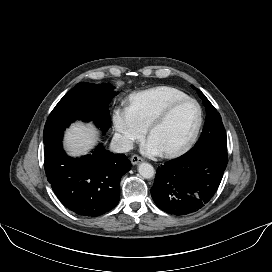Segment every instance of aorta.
Returning <instances> with one entry per match:
<instances>
[{
  "mask_svg": "<svg viewBox=\"0 0 272 272\" xmlns=\"http://www.w3.org/2000/svg\"><path fill=\"white\" fill-rule=\"evenodd\" d=\"M138 172L142 177L146 179H151L155 175L154 167L151 164L145 162L139 165Z\"/></svg>",
  "mask_w": 272,
  "mask_h": 272,
  "instance_id": "aorta-1",
  "label": "aorta"
}]
</instances>
